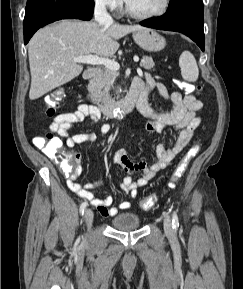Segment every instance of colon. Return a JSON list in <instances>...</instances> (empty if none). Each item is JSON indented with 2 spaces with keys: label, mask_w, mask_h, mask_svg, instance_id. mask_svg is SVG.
<instances>
[{
  "label": "colon",
  "mask_w": 243,
  "mask_h": 289,
  "mask_svg": "<svg viewBox=\"0 0 243 289\" xmlns=\"http://www.w3.org/2000/svg\"><path fill=\"white\" fill-rule=\"evenodd\" d=\"M178 86L185 91H192L194 87L186 82L178 81ZM201 90V87H198ZM65 94L62 89L53 90L45 98V113L47 116H53L59 106V102L64 98ZM33 144L41 149L49 158L54 160L58 164L61 170L65 174H71L75 167V161L73 155L63 149V142L52 134L45 136H37L33 138ZM200 149L199 145L193 146L178 164L174 171L171 181L169 183L170 188H174L175 183L184 175L190 161L198 153ZM156 203L155 196H148L142 199L141 207L144 210H150Z\"/></svg>",
  "instance_id": "colon-1"
}]
</instances>
